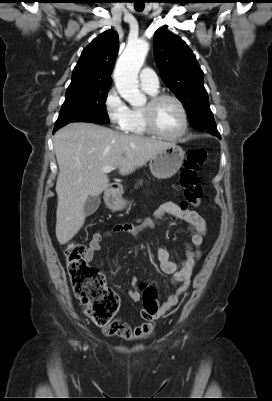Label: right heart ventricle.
Here are the masks:
<instances>
[{
  "instance_id": "e07e8e85",
  "label": "right heart ventricle",
  "mask_w": 272,
  "mask_h": 401,
  "mask_svg": "<svg viewBox=\"0 0 272 401\" xmlns=\"http://www.w3.org/2000/svg\"><path fill=\"white\" fill-rule=\"evenodd\" d=\"M145 91L151 96L157 94V91ZM124 131L128 134L138 136L150 134L144 123L142 107H133L131 109L130 118Z\"/></svg>"
}]
</instances>
